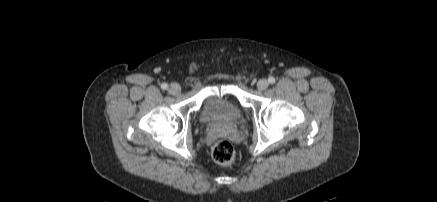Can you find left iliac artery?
<instances>
[{
	"label": "left iliac artery",
	"mask_w": 437,
	"mask_h": 202,
	"mask_svg": "<svg viewBox=\"0 0 437 202\" xmlns=\"http://www.w3.org/2000/svg\"><path fill=\"white\" fill-rule=\"evenodd\" d=\"M268 81H269V83L274 84L276 80L274 77L271 76L268 78Z\"/></svg>",
	"instance_id": "left-iliac-artery-1"
}]
</instances>
